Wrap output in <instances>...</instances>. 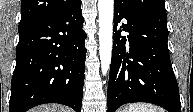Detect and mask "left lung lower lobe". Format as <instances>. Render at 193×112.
Wrapping results in <instances>:
<instances>
[{"instance_id":"1","label":"left lung lower lobe","mask_w":193,"mask_h":112,"mask_svg":"<svg viewBox=\"0 0 193 112\" xmlns=\"http://www.w3.org/2000/svg\"><path fill=\"white\" fill-rule=\"evenodd\" d=\"M122 18L127 23L119 26ZM121 31L129 35L121 36ZM114 32L108 112L132 102H148L169 112H181L167 45L166 12L129 14L114 6Z\"/></svg>"}]
</instances>
